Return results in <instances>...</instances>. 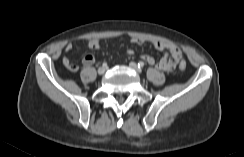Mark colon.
I'll use <instances>...</instances> for the list:
<instances>
[{"label":"colon","instance_id":"1","mask_svg":"<svg viewBox=\"0 0 244 157\" xmlns=\"http://www.w3.org/2000/svg\"><path fill=\"white\" fill-rule=\"evenodd\" d=\"M186 68V62L185 61H181L180 63H179V69L180 70H184Z\"/></svg>","mask_w":244,"mask_h":157}]
</instances>
